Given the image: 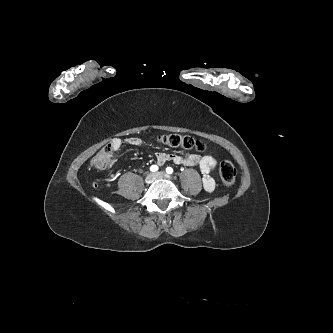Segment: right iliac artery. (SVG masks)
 Masks as SVG:
<instances>
[{
  "instance_id": "82829eb1",
  "label": "right iliac artery",
  "mask_w": 333,
  "mask_h": 333,
  "mask_svg": "<svg viewBox=\"0 0 333 333\" xmlns=\"http://www.w3.org/2000/svg\"><path fill=\"white\" fill-rule=\"evenodd\" d=\"M150 171H152V172H156V171H158V166H157V165H152V166L150 167Z\"/></svg>"
}]
</instances>
